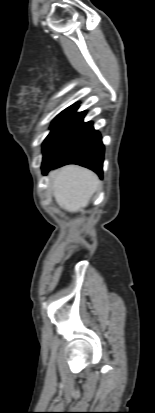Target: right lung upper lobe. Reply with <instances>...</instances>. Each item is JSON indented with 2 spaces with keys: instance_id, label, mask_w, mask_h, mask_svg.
<instances>
[{
  "instance_id": "right-lung-upper-lobe-1",
  "label": "right lung upper lobe",
  "mask_w": 155,
  "mask_h": 413,
  "mask_svg": "<svg viewBox=\"0 0 155 413\" xmlns=\"http://www.w3.org/2000/svg\"><path fill=\"white\" fill-rule=\"evenodd\" d=\"M71 107H78V105H77V104H75V105H72V106H70V107H68V108H71Z\"/></svg>"
}]
</instances>
